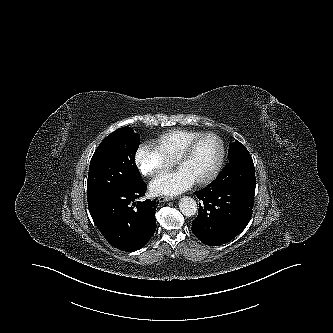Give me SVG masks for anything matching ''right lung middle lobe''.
Masks as SVG:
<instances>
[{
    "mask_svg": "<svg viewBox=\"0 0 333 333\" xmlns=\"http://www.w3.org/2000/svg\"><path fill=\"white\" fill-rule=\"evenodd\" d=\"M139 142V135L132 128L122 127L100 143L90 161L88 202L142 181L135 164Z\"/></svg>",
    "mask_w": 333,
    "mask_h": 333,
    "instance_id": "dd1d6c3e",
    "label": "right lung middle lobe"
}]
</instances>
